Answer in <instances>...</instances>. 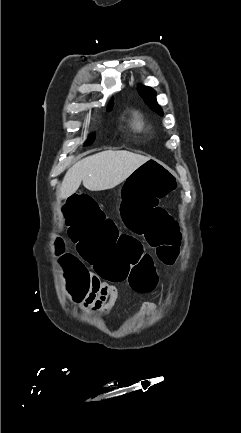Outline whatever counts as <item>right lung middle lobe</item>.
<instances>
[{"label":"right lung middle lobe","mask_w":241,"mask_h":433,"mask_svg":"<svg viewBox=\"0 0 241 433\" xmlns=\"http://www.w3.org/2000/svg\"><path fill=\"white\" fill-rule=\"evenodd\" d=\"M111 106H112V105L109 106L108 111L111 109ZM94 137H95L94 134L89 135V140H88V142L86 143V145H90L91 142H92V140L94 139Z\"/></svg>","instance_id":"right-lung-middle-lobe-1"}]
</instances>
